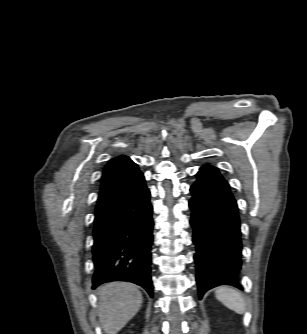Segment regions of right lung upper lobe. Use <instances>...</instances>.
Returning a JSON list of instances; mask_svg holds the SVG:
<instances>
[{
  "mask_svg": "<svg viewBox=\"0 0 307 334\" xmlns=\"http://www.w3.org/2000/svg\"><path fill=\"white\" fill-rule=\"evenodd\" d=\"M141 174L138 166L127 156L111 159L105 166L98 200L123 188Z\"/></svg>",
  "mask_w": 307,
  "mask_h": 334,
  "instance_id": "obj_1",
  "label": "right lung upper lobe"
}]
</instances>
